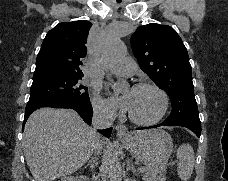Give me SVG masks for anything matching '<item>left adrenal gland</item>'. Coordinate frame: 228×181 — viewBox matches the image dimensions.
<instances>
[{
  "label": "left adrenal gland",
  "instance_id": "a2214340",
  "mask_svg": "<svg viewBox=\"0 0 228 181\" xmlns=\"http://www.w3.org/2000/svg\"><path fill=\"white\" fill-rule=\"evenodd\" d=\"M126 169L127 171H131L133 175H136V173H138L137 169H135L134 165H132V161H129V163H127Z\"/></svg>",
  "mask_w": 228,
  "mask_h": 181
}]
</instances>
